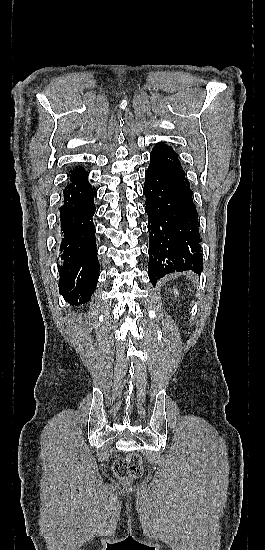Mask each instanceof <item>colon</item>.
<instances>
[{
  "label": "colon",
  "instance_id": "1",
  "mask_svg": "<svg viewBox=\"0 0 265 550\" xmlns=\"http://www.w3.org/2000/svg\"><path fill=\"white\" fill-rule=\"evenodd\" d=\"M113 472L118 479L125 482L138 478L143 473L142 460L136 454L121 457L114 462Z\"/></svg>",
  "mask_w": 265,
  "mask_h": 550
}]
</instances>
